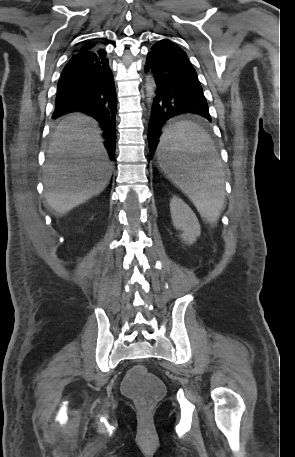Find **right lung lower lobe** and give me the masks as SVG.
<instances>
[{"label":"right lung lower lobe","instance_id":"1","mask_svg":"<svg viewBox=\"0 0 295 457\" xmlns=\"http://www.w3.org/2000/svg\"><path fill=\"white\" fill-rule=\"evenodd\" d=\"M117 97L106 51L92 49L74 54L58 82L52 118L81 111L95 118L104 130L105 145L113 159L116 145Z\"/></svg>","mask_w":295,"mask_h":457}]
</instances>
